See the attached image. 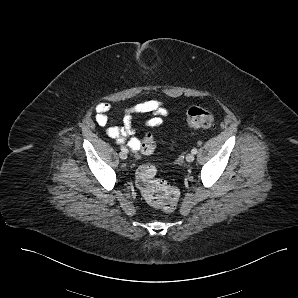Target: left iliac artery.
Returning <instances> with one entry per match:
<instances>
[{
	"instance_id": "left-iliac-artery-1",
	"label": "left iliac artery",
	"mask_w": 298,
	"mask_h": 298,
	"mask_svg": "<svg viewBox=\"0 0 298 298\" xmlns=\"http://www.w3.org/2000/svg\"><path fill=\"white\" fill-rule=\"evenodd\" d=\"M191 153H192V154H196V153H197V149H196V148H193V149L191 150Z\"/></svg>"
}]
</instances>
